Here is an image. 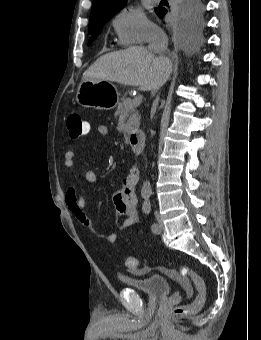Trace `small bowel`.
<instances>
[{
  "label": "small bowel",
  "mask_w": 261,
  "mask_h": 340,
  "mask_svg": "<svg viewBox=\"0 0 261 340\" xmlns=\"http://www.w3.org/2000/svg\"><path fill=\"white\" fill-rule=\"evenodd\" d=\"M85 135L90 132V124L84 122ZM97 132L102 137L109 135V130L105 125H99ZM76 152L72 149L66 150L64 153V164L67 168H72L75 165ZM85 178L90 183L97 182V174L90 169L85 171ZM139 180V170L136 167H131L128 171L126 178L123 181V185L120 190L113 194V203L116 210L119 213L125 214V218L121 221L119 228L127 229L135 225L139 221V214L137 210V196L136 185ZM65 202L77 221L88 231L94 233L99 239L107 243H114L116 241V234L113 232L98 233L96 231L95 223L93 219L88 215L86 211L85 200L81 195L79 188L75 185L68 187L65 194ZM187 295H192L193 289L187 285Z\"/></svg>",
  "instance_id": "small-bowel-1"
}]
</instances>
